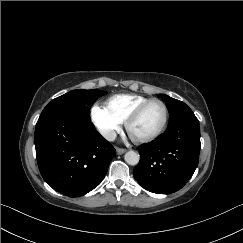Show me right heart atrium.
<instances>
[{
    "mask_svg": "<svg viewBox=\"0 0 243 243\" xmlns=\"http://www.w3.org/2000/svg\"><path fill=\"white\" fill-rule=\"evenodd\" d=\"M90 117L97 130L106 139H112L121 128L122 122L104 106L94 105Z\"/></svg>",
    "mask_w": 243,
    "mask_h": 243,
    "instance_id": "1",
    "label": "right heart atrium"
}]
</instances>
